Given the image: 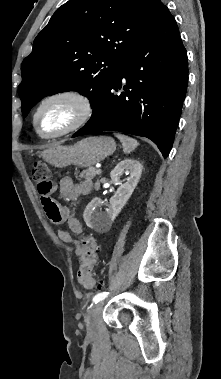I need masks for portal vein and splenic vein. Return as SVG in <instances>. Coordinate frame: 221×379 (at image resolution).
<instances>
[{"label": "portal vein and splenic vein", "mask_w": 221, "mask_h": 379, "mask_svg": "<svg viewBox=\"0 0 221 379\" xmlns=\"http://www.w3.org/2000/svg\"><path fill=\"white\" fill-rule=\"evenodd\" d=\"M96 171L98 174H101V172H102L100 168H97Z\"/></svg>", "instance_id": "obj_1"}]
</instances>
